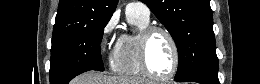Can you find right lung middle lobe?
I'll return each mask as SVG.
<instances>
[{"label": "right lung middle lobe", "mask_w": 260, "mask_h": 84, "mask_svg": "<svg viewBox=\"0 0 260 84\" xmlns=\"http://www.w3.org/2000/svg\"><path fill=\"white\" fill-rule=\"evenodd\" d=\"M109 20L88 23L52 38L50 83L67 84L85 71H104L100 43Z\"/></svg>", "instance_id": "obj_1"}]
</instances>
